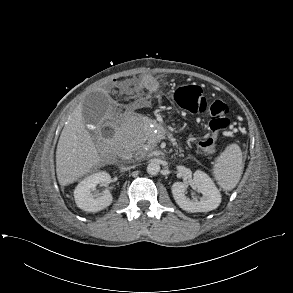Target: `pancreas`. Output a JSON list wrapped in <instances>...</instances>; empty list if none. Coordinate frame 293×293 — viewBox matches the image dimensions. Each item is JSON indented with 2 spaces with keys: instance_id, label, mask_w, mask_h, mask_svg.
<instances>
[{
  "instance_id": "1",
  "label": "pancreas",
  "mask_w": 293,
  "mask_h": 293,
  "mask_svg": "<svg viewBox=\"0 0 293 293\" xmlns=\"http://www.w3.org/2000/svg\"><path fill=\"white\" fill-rule=\"evenodd\" d=\"M141 134L139 135H135V133L133 131H129V130H126L122 133H120V136H119V141L122 142V143H126L128 142L129 140L133 139V137H139ZM161 137H159L156 141H154L151 145H149L150 147H154L156 146V143L159 141ZM148 138L143 136V141L147 140Z\"/></svg>"
}]
</instances>
